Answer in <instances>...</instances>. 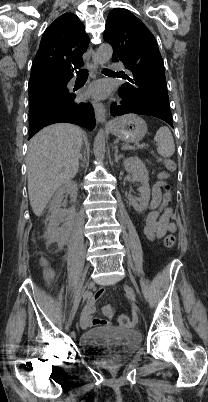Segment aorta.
<instances>
[{"instance_id": "obj_1", "label": "aorta", "mask_w": 208, "mask_h": 402, "mask_svg": "<svg viewBox=\"0 0 208 402\" xmlns=\"http://www.w3.org/2000/svg\"><path fill=\"white\" fill-rule=\"evenodd\" d=\"M113 54V50L109 44H101L99 46L96 56H95V64L96 66H104L106 62L111 60ZM94 156L98 162H102L105 156V132L104 130H99L93 148Z\"/></svg>"}]
</instances>
